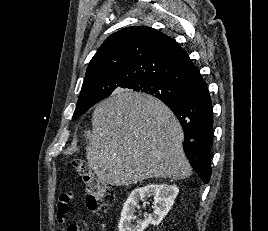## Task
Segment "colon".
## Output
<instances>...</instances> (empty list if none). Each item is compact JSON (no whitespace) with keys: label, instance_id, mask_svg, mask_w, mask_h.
Returning <instances> with one entry per match:
<instances>
[{"label":"colon","instance_id":"colon-1","mask_svg":"<svg viewBox=\"0 0 268 231\" xmlns=\"http://www.w3.org/2000/svg\"><path fill=\"white\" fill-rule=\"evenodd\" d=\"M72 167L85 187L89 210L99 212L111 204L114 199L111 188L90 172L85 161L75 160L72 162Z\"/></svg>","mask_w":268,"mask_h":231}]
</instances>
